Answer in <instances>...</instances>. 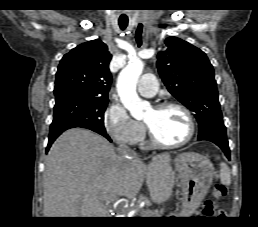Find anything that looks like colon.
I'll list each match as a JSON object with an SVG mask.
<instances>
[{"label":"colon","mask_w":258,"mask_h":227,"mask_svg":"<svg viewBox=\"0 0 258 227\" xmlns=\"http://www.w3.org/2000/svg\"><path fill=\"white\" fill-rule=\"evenodd\" d=\"M212 193L217 198L225 197L227 194V187L224 184L216 183L212 188Z\"/></svg>","instance_id":"1"}]
</instances>
